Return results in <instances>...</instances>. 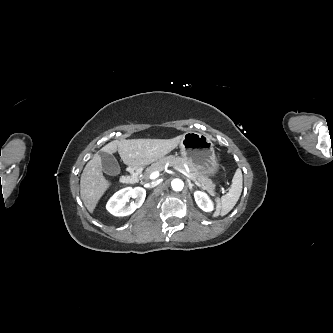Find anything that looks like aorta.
Instances as JSON below:
<instances>
[{
  "label": "aorta",
  "mask_w": 333,
  "mask_h": 333,
  "mask_svg": "<svg viewBox=\"0 0 333 333\" xmlns=\"http://www.w3.org/2000/svg\"><path fill=\"white\" fill-rule=\"evenodd\" d=\"M171 186L174 191H181L184 187V183L181 179H173Z\"/></svg>",
  "instance_id": "aorta-1"
}]
</instances>
